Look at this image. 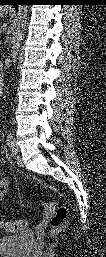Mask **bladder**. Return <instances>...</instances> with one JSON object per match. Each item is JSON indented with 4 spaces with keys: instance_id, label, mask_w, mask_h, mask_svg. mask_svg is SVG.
I'll list each match as a JSON object with an SVG mask.
<instances>
[{
    "instance_id": "1",
    "label": "bladder",
    "mask_w": 106,
    "mask_h": 257,
    "mask_svg": "<svg viewBox=\"0 0 106 257\" xmlns=\"http://www.w3.org/2000/svg\"><path fill=\"white\" fill-rule=\"evenodd\" d=\"M34 243V233L24 230L0 239V254L3 257H25Z\"/></svg>"
}]
</instances>
